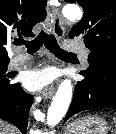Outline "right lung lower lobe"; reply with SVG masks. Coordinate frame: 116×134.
<instances>
[{"instance_id": "98d812e1", "label": "right lung lower lobe", "mask_w": 116, "mask_h": 134, "mask_svg": "<svg viewBox=\"0 0 116 134\" xmlns=\"http://www.w3.org/2000/svg\"><path fill=\"white\" fill-rule=\"evenodd\" d=\"M32 102V95L24 92L17 83L11 92L0 95V118L12 123L26 134Z\"/></svg>"}]
</instances>
